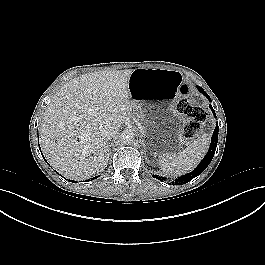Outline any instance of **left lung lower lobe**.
<instances>
[{
	"label": "left lung lower lobe",
	"mask_w": 265,
	"mask_h": 265,
	"mask_svg": "<svg viewBox=\"0 0 265 265\" xmlns=\"http://www.w3.org/2000/svg\"><path fill=\"white\" fill-rule=\"evenodd\" d=\"M198 90L203 94L205 95L209 100H211V98L208 96V94L201 88L198 86ZM212 112H213V115H215V111L214 109L212 108L211 105H209ZM218 131H219V127L218 125L216 126L214 132H213V135H212V140H211V146L208 150V153L206 154V156L204 157V159L200 162V164L195 168V170H193L192 172L182 176V177H179L177 179H175L174 182H172V184L174 185H182V184H186L188 183L189 181H191L193 178H195L196 176L200 175L205 169L206 167L209 165V163L211 162L214 154H215V150H216V146H217V142H218ZM154 177L160 181H163L165 180V178L163 177H160V176H157V175H154Z\"/></svg>",
	"instance_id": "0a47b994"
}]
</instances>
